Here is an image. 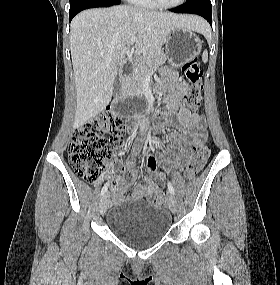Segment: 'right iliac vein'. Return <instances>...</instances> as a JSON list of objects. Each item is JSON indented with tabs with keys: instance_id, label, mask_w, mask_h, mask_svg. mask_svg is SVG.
Instances as JSON below:
<instances>
[{
	"instance_id": "63e3f726",
	"label": "right iliac vein",
	"mask_w": 280,
	"mask_h": 285,
	"mask_svg": "<svg viewBox=\"0 0 280 285\" xmlns=\"http://www.w3.org/2000/svg\"><path fill=\"white\" fill-rule=\"evenodd\" d=\"M109 206V194H104L100 201V212L103 214L106 212Z\"/></svg>"
}]
</instances>
